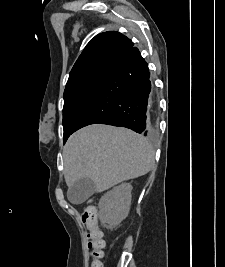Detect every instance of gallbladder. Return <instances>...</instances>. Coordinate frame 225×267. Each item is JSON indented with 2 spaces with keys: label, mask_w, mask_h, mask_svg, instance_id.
<instances>
[{
  "label": "gallbladder",
  "mask_w": 225,
  "mask_h": 267,
  "mask_svg": "<svg viewBox=\"0 0 225 267\" xmlns=\"http://www.w3.org/2000/svg\"><path fill=\"white\" fill-rule=\"evenodd\" d=\"M96 190L95 183L89 178H81L69 187L67 196L71 203L81 204Z\"/></svg>",
  "instance_id": "1"
}]
</instances>
